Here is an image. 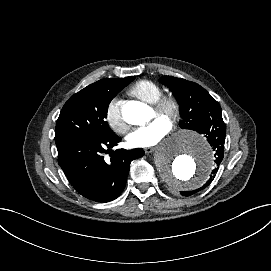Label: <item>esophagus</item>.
<instances>
[{
  "mask_svg": "<svg viewBox=\"0 0 271 271\" xmlns=\"http://www.w3.org/2000/svg\"><path fill=\"white\" fill-rule=\"evenodd\" d=\"M155 149H156L155 147H146L144 150H145L146 154H150V153L154 152Z\"/></svg>",
  "mask_w": 271,
  "mask_h": 271,
  "instance_id": "1",
  "label": "esophagus"
}]
</instances>
